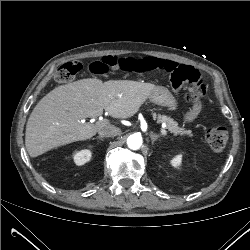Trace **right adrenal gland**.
I'll use <instances>...</instances> for the list:
<instances>
[{
  "label": "right adrenal gland",
  "mask_w": 250,
  "mask_h": 250,
  "mask_svg": "<svg viewBox=\"0 0 250 250\" xmlns=\"http://www.w3.org/2000/svg\"><path fill=\"white\" fill-rule=\"evenodd\" d=\"M96 139H99V140H102V141H103V138H101V137H97Z\"/></svg>",
  "instance_id": "1"
}]
</instances>
